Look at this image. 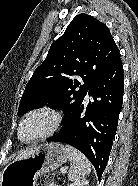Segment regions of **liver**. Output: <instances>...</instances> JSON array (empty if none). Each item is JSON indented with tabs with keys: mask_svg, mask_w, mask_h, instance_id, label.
Listing matches in <instances>:
<instances>
[{
	"mask_svg": "<svg viewBox=\"0 0 138 186\" xmlns=\"http://www.w3.org/2000/svg\"><path fill=\"white\" fill-rule=\"evenodd\" d=\"M33 149L34 148L28 149L26 151H22L17 157H25V156L29 155L33 151Z\"/></svg>",
	"mask_w": 138,
	"mask_h": 186,
	"instance_id": "liver-1",
	"label": "liver"
}]
</instances>
